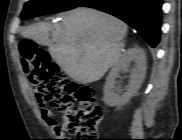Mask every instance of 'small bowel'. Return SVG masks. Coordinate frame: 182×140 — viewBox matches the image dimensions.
<instances>
[{
  "label": "small bowel",
  "mask_w": 182,
  "mask_h": 140,
  "mask_svg": "<svg viewBox=\"0 0 182 140\" xmlns=\"http://www.w3.org/2000/svg\"><path fill=\"white\" fill-rule=\"evenodd\" d=\"M37 101H38V104L41 108V116H42V119L44 120V122L49 127H51L57 135L61 136L62 132L58 126V123L56 122V120L53 116L52 111L46 107L45 102H43L39 99H37Z\"/></svg>",
  "instance_id": "c3829d8e"
}]
</instances>
